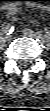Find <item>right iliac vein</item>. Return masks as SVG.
Segmentation results:
<instances>
[{"mask_svg":"<svg viewBox=\"0 0 50 111\" xmlns=\"http://www.w3.org/2000/svg\"><path fill=\"white\" fill-rule=\"evenodd\" d=\"M11 39V36L10 35H6L5 37H4V41H9Z\"/></svg>","mask_w":50,"mask_h":111,"instance_id":"63e3f726","label":"right iliac vein"}]
</instances>
